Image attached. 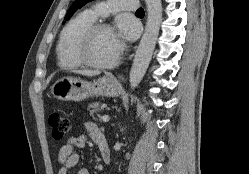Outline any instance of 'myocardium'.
<instances>
[{
  "label": "myocardium",
  "instance_id": "obj_1",
  "mask_svg": "<svg viewBox=\"0 0 249 174\" xmlns=\"http://www.w3.org/2000/svg\"><path fill=\"white\" fill-rule=\"evenodd\" d=\"M100 31H113V27L107 23H94L88 27L79 40L77 46V55L81 62L88 67L94 69H108L117 64L121 53V46L118 47V51L111 61L105 63L93 61L89 57V47L93 36Z\"/></svg>",
  "mask_w": 249,
  "mask_h": 174
}]
</instances>
